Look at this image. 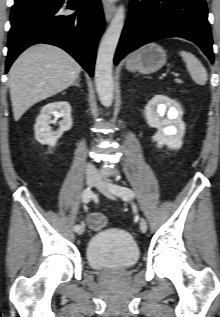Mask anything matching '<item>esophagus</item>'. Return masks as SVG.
I'll return each mask as SVG.
<instances>
[{
  "label": "esophagus",
  "instance_id": "1",
  "mask_svg": "<svg viewBox=\"0 0 220 317\" xmlns=\"http://www.w3.org/2000/svg\"><path fill=\"white\" fill-rule=\"evenodd\" d=\"M103 10H104V14H105V18L107 21H110L112 16L115 13V5L111 2H109L108 0H104L103 1Z\"/></svg>",
  "mask_w": 220,
  "mask_h": 317
}]
</instances>
